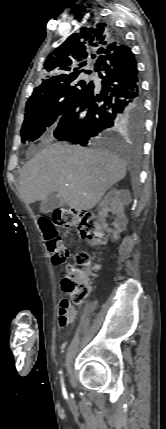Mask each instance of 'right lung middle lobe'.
Wrapping results in <instances>:
<instances>
[{"instance_id":"dd1d6c3e","label":"right lung middle lobe","mask_w":166,"mask_h":429,"mask_svg":"<svg viewBox=\"0 0 166 429\" xmlns=\"http://www.w3.org/2000/svg\"><path fill=\"white\" fill-rule=\"evenodd\" d=\"M86 85L79 75L68 77L49 88L33 93L25 107L21 129L22 142L38 139L50 126L56 125L75 96ZM138 134L137 136H140Z\"/></svg>"}]
</instances>
